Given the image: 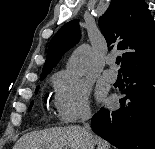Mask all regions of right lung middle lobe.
Masks as SVG:
<instances>
[{
    "mask_svg": "<svg viewBox=\"0 0 155 149\" xmlns=\"http://www.w3.org/2000/svg\"><path fill=\"white\" fill-rule=\"evenodd\" d=\"M44 78H45V77H41L40 79L43 80ZM38 88H39V86L36 88V93L38 92ZM32 104H33V102H31V105H30V107H29V110L31 109Z\"/></svg>",
    "mask_w": 155,
    "mask_h": 149,
    "instance_id": "1",
    "label": "right lung middle lobe"
}]
</instances>
